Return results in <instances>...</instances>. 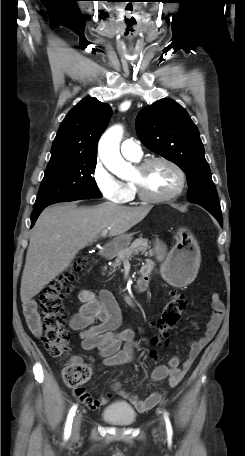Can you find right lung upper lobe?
I'll list each match as a JSON object with an SVG mask.
<instances>
[{
    "label": "right lung upper lobe",
    "mask_w": 245,
    "mask_h": 456,
    "mask_svg": "<svg viewBox=\"0 0 245 456\" xmlns=\"http://www.w3.org/2000/svg\"><path fill=\"white\" fill-rule=\"evenodd\" d=\"M111 117L108 104L94 97L82 99L62 121L53 141L50 162L97 157V143Z\"/></svg>",
    "instance_id": "cb5924a9"
}]
</instances>
